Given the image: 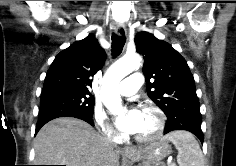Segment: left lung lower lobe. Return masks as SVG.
I'll return each instance as SVG.
<instances>
[{
	"label": "left lung lower lobe",
	"mask_w": 236,
	"mask_h": 166,
	"mask_svg": "<svg viewBox=\"0 0 236 166\" xmlns=\"http://www.w3.org/2000/svg\"><path fill=\"white\" fill-rule=\"evenodd\" d=\"M167 119L164 134L174 130H186L196 135L203 143L204 136L201 130L202 117L199 102H193L187 110L174 113Z\"/></svg>",
	"instance_id": "obj_1"
}]
</instances>
